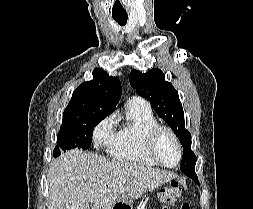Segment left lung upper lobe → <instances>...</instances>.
<instances>
[{
  "mask_svg": "<svg viewBox=\"0 0 253 209\" xmlns=\"http://www.w3.org/2000/svg\"><path fill=\"white\" fill-rule=\"evenodd\" d=\"M131 86L147 99L155 112L172 128L183 146L180 170L191 178L195 173L196 156L191 150V134L185 129L184 112L178 92L160 69H151L143 74L133 69L130 73Z\"/></svg>",
  "mask_w": 253,
  "mask_h": 209,
  "instance_id": "obj_1",
  "label": "left lung upper lobe"
}]
</instances>
